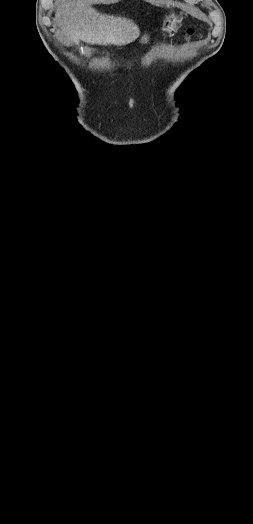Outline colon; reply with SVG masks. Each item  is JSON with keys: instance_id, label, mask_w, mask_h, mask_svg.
Returning a JSON list of instances; mask_svg holds the SVG:
<instances>
[{"instance_id": "obj_1", "label": "colon", "mask_w": 253, "mask_h": 524, "mask_svg": "<svg viewBox=\"0 0 253 524\" xmlns=\"http://www.w3.org/2000/svg\"><path fill=\"white\" fill-rule=\"evenodd\" d=\"M201 33L195 29V28H190L188 29V37L189 38H193V37H200Z\"/></svg>"}]
</instances>
